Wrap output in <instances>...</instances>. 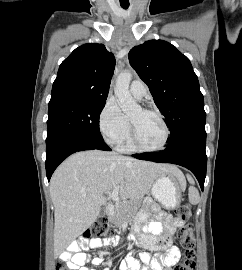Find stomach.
I'll list each match as a JSON object with an SVG mask.
<instances>
[{
    "label": "stomach",
    "instance_id": "stomach-1",
    "mask_svg": "<svg viewBox=\"0 0 242 270\" xmlns=\"http://www.w3.org/2000/svg\"><path fill=\"white\" fill-rule=\"evenodd\" d=\"M185 185L184 179L164 173L152 184L151 194L166 209H172L179 205L181 192L185 189Z\"/></svg>",
    "mask_w": 242,
    "mask_h": 270
}]
</instances>
